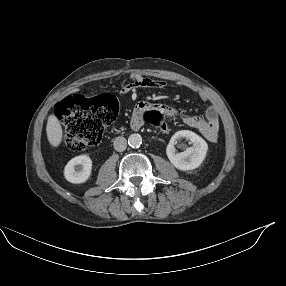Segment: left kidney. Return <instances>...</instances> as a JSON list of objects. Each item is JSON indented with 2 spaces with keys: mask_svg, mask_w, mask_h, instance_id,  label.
I'll list each match as a JSON object with an SVG mask.
<instances>
[{
  "mask_svg": "<svg viewBox=\"0 0 286 286\" xmlns=\"http://www.w3.org/2000/svg\"><path fill=\"white\" fill-rule=\"evenodd\" d=\"M181 138H186L192 144L184 152L176 153L175 144ZM208 145L206 141L196 133L189 130L176 132L170 139L166 148V154L170 162L179 170L189 171L198 168L206 157Z\"/></svg>",
  "mask_w": 286,
  "mask_h": 286,
  "instance_id": "left-kidney-1",
  "label": "left kidney"
}]
</instances>
